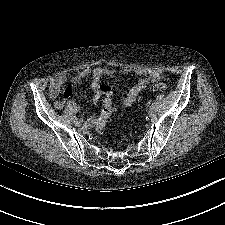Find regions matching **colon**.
<instances>
[{"label":"colon","mask_w":225,"mask_h":225,"mask_svg":"<svg viewBox=\"0 0 225 225\" xmlns=\"http://www.w3.org/2000/svg\"><path fill=\"white\" fill-rule=\"evenodd\" d=\"M155 88L158 91H165L167 89V86L163 83H158L155 85ZM113 113V107H112V101L109 98H106L103 101V109L99 115V117L95 120V130L98 133H101L105 130L111 115Z\"/></svg>","instance_id":"1"}]
</instances>
